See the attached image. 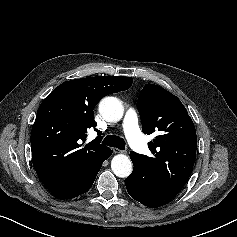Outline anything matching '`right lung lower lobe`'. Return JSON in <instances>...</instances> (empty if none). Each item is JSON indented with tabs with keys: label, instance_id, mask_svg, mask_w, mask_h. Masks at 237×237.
Masks as SVG:
<instances>
[{
	"label": "right lung lower lobe",
	"instance_id": "1",
	"mask_svg": "<svg viewBox=\"0 0 237 237\" xmlns=\"http://www.w3.org/2000/svg\"><path fill=\"white\" fill-rule=\"evenodd\" d=\"M111 154H112V151L110 150L107 158ZM107 158H104V159H102L100 161H97L94 164H91L90 166H88V165L85 166V170H86V173H87L89 179H88L87 185L84 186L81 194L87 192L90 189V187L92 186V184H93V182H94V180L96 178L97 173L99 172V170H100V168L102 166L103 161L106 160ZM81 194H79V195H81Z\"/></svg>",
	"mask_w": 237,
	"mask_h": 237
}]
</instances>
